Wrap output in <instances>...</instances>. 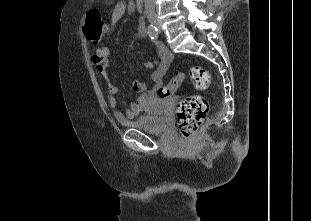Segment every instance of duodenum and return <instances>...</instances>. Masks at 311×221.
I'll list each match as a JSON object with an SVG mask.
<instances>
[{"mask_svg":"<svg viewBox=\"0 0 311 221\" xmlns=\"http://www.w3.org/2000/svg\"><path fill=\"white\" fill-rule=\"evenodd\" d=\"M136 8L140 11H143L144 6H145V0H135ZM140 27L144 28L146 23L144 20L139 21Z\"/></svg>","mask_w":311,"mask_h":221,"instance_id":"duodenum-1","label":"duodenum"}]
</instances>
